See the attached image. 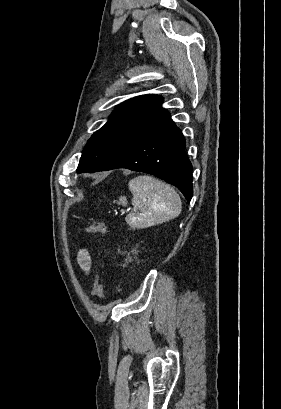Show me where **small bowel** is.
Masks as SVG:
<instances>
[{
    "label": "small bowel",
    "mask_w": 281,
    "mask_h": 409,
    "mask_svg": "<svg viewBox=\"0 0 281 409\" xmlns=\"http://www.w3.org/2000/svg\"><path fill=\"white\" fill-rule=\"evenodd\" d=\"M77 261L83 272L88 273L90 271L92 260L89 252L86 249L81 248L78 250Z\"/></svg>",
    "instance_id": "obj_1"
}]
</instances>
